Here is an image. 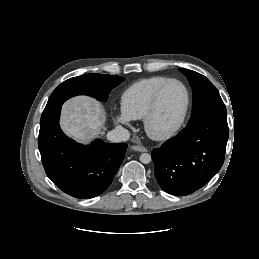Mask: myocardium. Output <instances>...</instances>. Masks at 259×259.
Returning a JSON list of instances; mask_svg holds the SVG:
<instances>
[{
    "mask_svg": "<svg viewBox=\"0 0 259 259\" xmlns=\"http://www.w3.org/2000/svg\"><path fill=\"white\" fill-rule=\"evenodd\" d=\"M171 83H178L184 88L186 93V104L180 119L173 127L163 132H157L152 128V120L158 110L160 97L163 90ZM190 106H191V93L188 86L180 79H177V78L167 79L154 92L150 106L143 117V126L146 134L154 140H166L171 138L181 129V127L185 123L190 110Z\"/></svg>",
    "mask_w": 259,
    "mask_h": 259,
    "instance_id": "myocardium-1",
    "label": "myocardium"
}]
</instances>
